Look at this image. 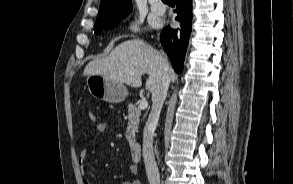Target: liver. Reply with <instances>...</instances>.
<instances>
[{"instance_id": "6515ba94", "label": "liver", "mask_w": 293, "mask_h": 184, "mask_svg": "<svg viewBox=\"0 0 293 184\" xmlns=\"http://www.w3.org/2000/svg\"><path fill=\"white\" fill-rule=\"evenodd\" d=\"M166 65L170 81L176 79L174 70L167 58L141 39L128 40L119 44L107 57L90 61L84 69V75H102L104 77L126 83L132 87H141L143 74L149 75L146 89L155 93L162 83Z\"/></svg>"}]
</instances>
